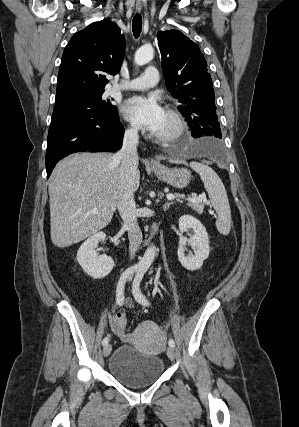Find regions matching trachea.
<instances>
[{
	"label": "trachea",
	"mask_w": 299,
	"mask_h": 427,
	"mask_svg": "<svg viewBox=\"0 0 299 427\" xmlns=\"http://www.w3.org/2000/svg\"><path fill=\"white\" fill-rule=\"evenodd\" d=\"M142 29V17L140 14H135L133 21H132V31L135 38H138L140 36Z\"/></svg>",
	"instance_id": "obj_1"
}]
</instances>
